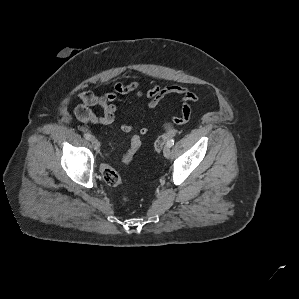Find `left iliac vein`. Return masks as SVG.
Masks as SVG:
<instances>
[{
	"label": "left iliac vein",
	"instance_id": "left-iliac-vein-1",
	"mask_svg": "<svg viewBox=\"0 0 299 299\" xmlns=\"http://www.w3.org/2000/svg\"><path fill=\"white\" fill-rule=\"evenodd\" d=\"M163 154H164V156H165L166 158H169V157H170V155H171V150H170V147H169V146L166 145V146L164 147Z\"/></svg>",
	"mask_w": 299,
	"mask_h": 299
}]
</instances>
